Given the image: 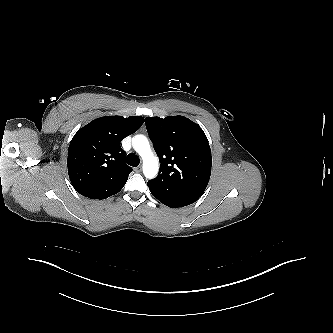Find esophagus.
<instances>
[{"instance_id": "34e87169", "label": "esophagus", "mask_w": 333, "mask_h": 333, "mask_svg": "<svg viewBox=\"0 0 333 333\" xmlns=\"http://www.w3.org/2000/svg\"><path fill=\"white\" fill-rule=\"evenodd\" d=\"M135 172H141L142 171V167L141 166H138L137 168L134 169Z\"/></svg>"}]
</instances>
